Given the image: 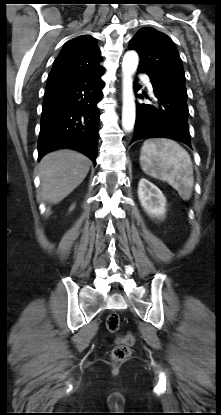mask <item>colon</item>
Instances as JSON below:
<instances>
[{"instance_id": "colon-1", "label": "colon", "mask_w": 221, "mask_h": 415, "mask_svg": "<svg viewBox=\"0 0 221 415\" xmlns=\"http://www.w3.org/2000/svg\"><path fill=\"white\" fill-rule=\"evenodd\" d=\"M120 316L117 313H111L106 318V328L110 332L118 331L120 327ZM135 338L133 335L121 337L117 341V345L112 349L111 356L114 361H123L131 354L130 347L133 345Z\"/></svg>"}]
</instances>
